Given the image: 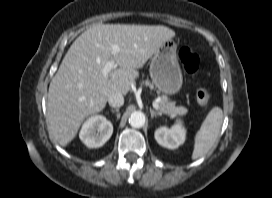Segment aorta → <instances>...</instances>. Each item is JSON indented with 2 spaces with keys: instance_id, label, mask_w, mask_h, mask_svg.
Returning a JSON list of instances; mask_svg holds the SVG:
<instances>
[{
  "instance_id": "1",
  "label": "aorta",
  "mask_w": 272,
  "mask_h": 198,
  "mask_svg": "<svg viewBox=\"0 0 272 198\" xmlns=\"http://www.w3.org/2000/svg\"><path fill=\"white\" fill-rule=\"evenodd\" d=\"M129 123L134 128H141L145 124V115L140 111L132 112Z\"/></svg>"
}]
</instances>
